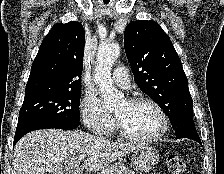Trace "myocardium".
Returning a JSON list of instances; mask_svg holds the SVG:
<instances>
[{"mask_svg": "<svg viewBox=\"0 0 224 174\" xmlns=\"http://www.w3.org/2000/svg\"><path fill=\"white\" fill-rule=\"evenodd\" d=\"M127 103L132 106L141 104V103L150 104L151 106H153L156 109V111L160 115L162 125H161L160 130L154 135L139 136V135H135V134L127 131L124 128V126L122 125V123L119 121V119L115 116L116 128H117L118 134L122 138L130 140V141H136V142H154V141L159 140L166 134V132L169 128V118H168L166 112L164 111V109L162 108V106L156 100H154L150 97H146V96H136V97L129 98L127 100Z\"/></svg>", "mask_w": 224, "mask_h": 174, "instance_id": "myocardium-1", "label": "myocardium"}]
</instances>
